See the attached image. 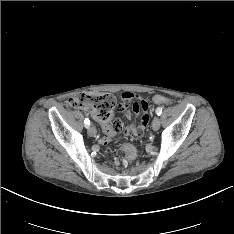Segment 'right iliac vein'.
I'll use <instances>...</instances> for the list:
<instances>
[{
    "instance_id": "right-iliac-vein-1",
    "label": "right iliac vein",
    "mask_w": 234,
    "mask_h": 234,
    "mask_svg": "<svg viewBox=\"0 0 234 234\" xmlns=\"http://www.w3.org/2000/svg\"><path fill=\"white\" fill-rule=\"evenodd\" d=\"M96 133H97V131H96L95 127L90 126V127L88 128V134H89L90 136H95Z\"/></svg>"
}]
</instances>
